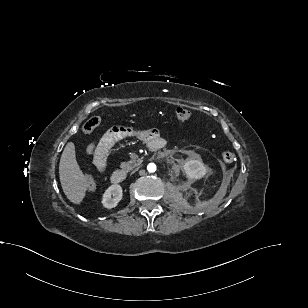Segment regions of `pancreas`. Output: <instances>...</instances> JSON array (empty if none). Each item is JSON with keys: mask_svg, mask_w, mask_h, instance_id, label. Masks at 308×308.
<instances>
[{"mask_svg": "<svg viewBox=\"0 0 308 308\" xmlns=\"http://www.w3.org/2000/svg\"><path fill=\"white\" fill-rule=\"evenodd\" d=\"M141 163V160H135V159H131L128 162H123L121 163L120 167L125 170V171H131L133 168L139 166V164Z\"/></svg>", "mask_w": 308, "mask_h": 308, "instance_id": "pancreas-1", "label": "pancreas"}]
</instances>
